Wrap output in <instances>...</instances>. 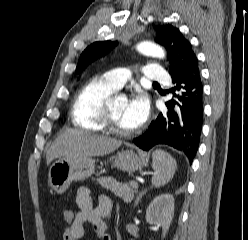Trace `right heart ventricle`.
<instances>
[{
	"label": "right heart ventricle",
	"mask_w": 248,
	"mask_h": 240,
	"mask_svg": "<svg viewBox=\"0 0 248 240\" xmlns=\"http://www.w3.org/2000/svg\"><path fill=\"white\" fill-rule=\"evenodd\" d=\"M115 90L103 77L93 78L86 83L73 102V125L88 131H103L102 113L105 102Z\"/></svg>",
	"instance_id": "right-heart-ventricle-1"
}]
</instances>
